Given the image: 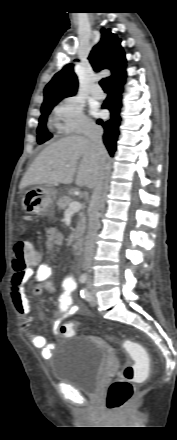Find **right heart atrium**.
<instances>
[{"instance_id":"right-heart-atrium-1","label":"right heart atrium","mask_w":177,"mask_h":440,"mask_svg":"<svg viewBox=\"0 0 177 440\" xmlns=\"http://www.w3.org/2000/svg\"><path fill=\"white\" fill-rule=\"evenodd\" d=\"M55 129L61 134H80L91 131L94 126L84 113L83 103L74 96L59 101L52 110Z\"/></svg>"}]
</instances>
